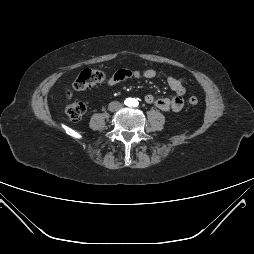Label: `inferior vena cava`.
<instances>
[{"label":"inferior vena cava","mask_w":254,"mask_h":254,"mask_svg":"<svg viewBox=\"0 0 254 254\" xmlns=\"http://www.w3.org/2000/svg\"><path fill=\"white\" fill-rule=\"evenodd\" d=\"M114 105H115L117 108L122 107V104H121V103H119V102H114Z\"/></svg>","instance_id":"602c4592"}]
</instances>
